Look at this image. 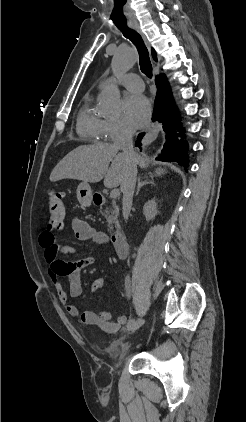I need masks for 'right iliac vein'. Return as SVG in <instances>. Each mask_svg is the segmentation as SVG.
Returning a JSON list of instances; mask_svg holds the SVG:
<instances>
[{"label":"right iliac vein","mask_w":246,"mask_h":422,"mask_svg":"<svg viewBox=\"0 0 246 422\" xmlns=\"http://www.w3.org/2000/svg\"><path fill=\"white\" fill-rule=\"evenodd\" d=\"M143 323H144V319L143 318H139L135 322V324L133 325V327L131 328L132 329V332H135L136 330H138L143 325Z\"/></svg>","instance_id":"63e3f726"}]
</instances>
